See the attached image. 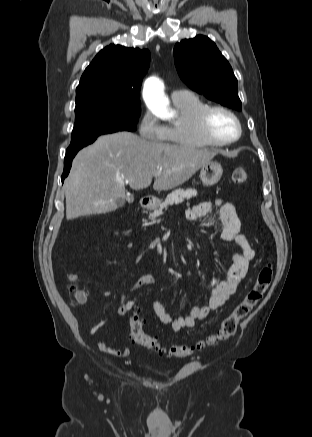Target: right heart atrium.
Segmentation results:
<instances>
[{"instance_id": "1", "label": "right heart atrium", "mask_w": 312, "mask_h": 437, "mask_svg": "<svg viewBox=\"0 0 312 437\" xmlns=\"http://www.w3.org/2000/svg\"><path fill=\"white\" fill-rule=\"evenodd\" d=\"M139 134L148 141H164L166 129L150 111H146L139 122Z\"/></svg>"}]
</instances>
